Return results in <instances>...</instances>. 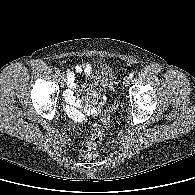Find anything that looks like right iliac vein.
I'll list each match as a JSON object with an SVG mask.
<instances>
[{
	"label": "right iliac vein",
	"instance_id": "right-iliac-vein-1",
	"mask_svg": "<svg viewBox=\"0 0 195 195\" xmlns=\"http://www.w3.org/2000/svg\"><path fill=\"white\" fill-rule=\"evenodd\" d=\"M59 80L61 82H65L66 81V77H65V75L63 73L59 74Z\"/></svg>",
	"mask_w": 195,
	"mask_h": 195
}]
</instances>
